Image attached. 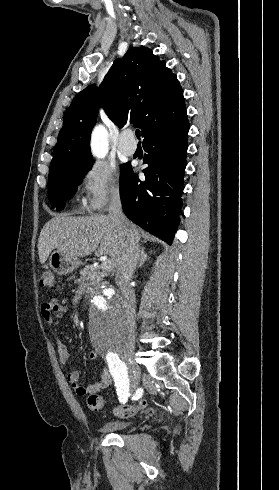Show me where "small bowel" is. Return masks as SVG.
Listing matches in <instances>:
<instances>
[{
	"mask_svg": "<svg viewBox=\"0 0 279 490\" xmlns=\"http://www.w3.org/2000/svg\"><path fill=\"white\" fill-rule=\"evenodd\" d=\"M67 314V306L59 303L56 299H52L42 304L41 316L46 322H51L54 319L64 317ZM56 343L59 361L61 364L65 365L70 360L69 347L60 338H57ZM96 357V353L92 352L90 354L91 360L96 359ZM82 378L83 373L81 370L72 371L67 376L68 382L73 386V388L79 395L96 393L98 391H101L102 389L109 387L112 383V378L107 368H103L99 379L91 384H81Z\"/></svg>",
	"mask_w": 279,
	"mask_h": 490,
	"instance_id": "obj_1",
	"label": "small bowel"
}]
</instances>
